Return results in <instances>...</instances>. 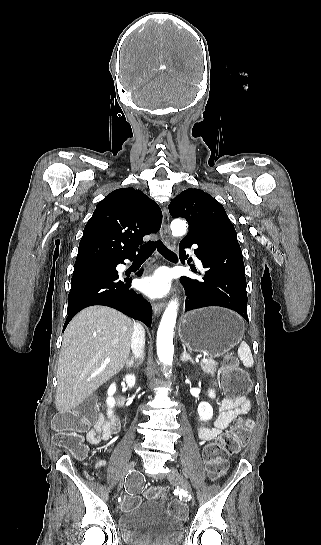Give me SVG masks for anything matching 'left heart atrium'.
<instances>
[{
  "mask_svg": "<svg viewBox=\"0 0 321 545\" xmlns=\"http://www.w3.org/2000/svg\"><path fill=\"white\" fill-rule=\"evenodd\" d=\"M171 285V279L167 272L160 271L140 282V289L151 297L165 296Z\"/></svg>",
  "mask_w": 321,
  "mask_h": 545,
  "instance_id": "1",
  "label": "left heart atrium"
}]
</instances>
